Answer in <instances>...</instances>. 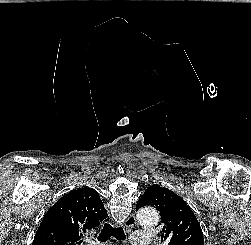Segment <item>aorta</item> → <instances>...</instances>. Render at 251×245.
<instances>
[{
	"label": "aorta",
	"mask_w": 251,
	"mask_h": 245,
	"mask_svg": "<svg viewBox=\"0 0 251 245\" xmlns=\"http://www.w3.org/2000/svg\"><path fill=\"white\" fill-rule=\"evenodd\" d=\"M140 225L144 227H153L159 222V215L154 208L145 207L138 211Z\"/></svg>",
	"instance_id": "762f6f07"
}]
</instances>
